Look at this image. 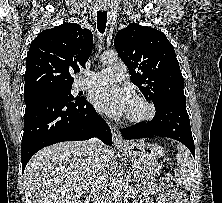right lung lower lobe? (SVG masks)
<instances>
[{"label":"right lung lower lobe","instance_id":"right-lung-lower-lobe-1","mask_svg":"<svg viewBox=\"0 0 222 203\" xmlns=\"http://www.w3.org/2000/svg\"><path fill=\"white\" fill-rule=\"evenodd\" d=\"M99 138L112 146L108 124L85 98L67 101L44 98L26 103L21 144L22 171L40 149L63 141Z\"/></svg>","mask_w":222,"mask_h":203}]
</instances>
